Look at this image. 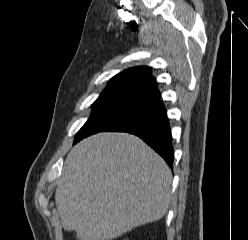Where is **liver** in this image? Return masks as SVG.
Listing matches in <instances>:
<instances>
[{
    "label": "liver",
    "instance_id": "1",
    "mask_svg": "<svg viewBox=\"0 0 248 240\" xmlns=\"http://www.w3.org/2000/svg\"><path fill=\"white\" fill-rule=\"evenodd\" d=\"M172 173L138 137L99 133L69 152L55 201L79 240H112L166 214Z\"/></svg>",
    "mask_w": 248,
    "mask_h": 240
}]
</instances>
